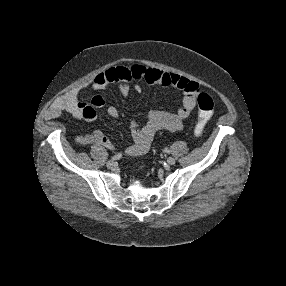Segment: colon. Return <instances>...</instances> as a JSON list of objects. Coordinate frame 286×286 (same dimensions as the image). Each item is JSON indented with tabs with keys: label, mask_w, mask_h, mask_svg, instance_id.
Listing matches in <instances>:
<instances>
[{
	"label": "colon",
	"mask_w": 286,
	"mask_h": 286,
	"mask_svg": "<svg viewBox=\"0 0 286 286\" xmlns=\"http://www.w3.org/2000/svg\"><path fill=\"white\" fill-rule=\"evenodd\" d=\"M199 115L194 129L196 136H201L206 123L211 119L214 112V103L212 98L205 92L200 93L197 97Z\"/></svg>",
	"instance_id": "obj_1"
}]
</instances>
